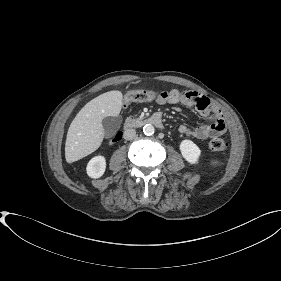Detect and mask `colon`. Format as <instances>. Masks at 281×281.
I'll list each match as a JSON object with an SVG mask.
<instances>
[{"mask_svg":"<svg viewBox=\"0 0 281 281\" xmlns=\"http://www.w3.org/2000/svg\"><path fill=\"white\" fill-rule=\"evenodd\" d=\"M159 94L151 90H134L125 94L123 103L125 106L135 102H147L156 100ZM121 134L117 135L111 140V143L120 140ZM208 146L213 151H224L228 148V143L221 138H213L209 141Z\"/></svg>","mask_w":281,"mask_h":281,"instance_id":"obj_1","label":"colon"}]
</instances>
